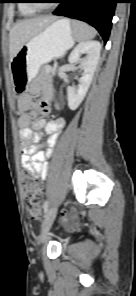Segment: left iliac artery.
I'll return each mask as SVG.
<instances>
[{
	"instance_id": "left-iliac-artery-1",
	"label": "left iliac artery",
	"mask_w": 136,
	"mask_h": 296,
	"mask_svg": "<svg viewBox=\"0 0 136 296\" xmlns=\"http://www.w3.org/2000/svg\"><path fill=\"white\" fill-rule=\"evenodd\" d=\"M48 201L46 200L45 201V203H44V213H46L47 212V210H48Z\"/></svg>"
}]
</instances>
